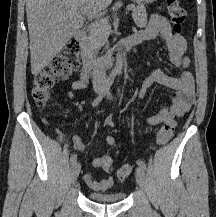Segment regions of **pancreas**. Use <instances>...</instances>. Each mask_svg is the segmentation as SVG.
<instances>
[{
	"mask_svg": "<svg viewBox=\"0 0 216 217\" xmlns=\"http://www.w3.org/2000/svg\"><path fill=\"white\" fill-rule=\"evenodd\" d=\"M132 17L138 27H146L147 13L144 4L138 3L137 6H134ZM110 32L111 27L107 19L93 23L89 28V41L91 46L95 49H99L107 42Z\"/></svg>",
	"mask_w": 216,
	"mask_h": 217,
	"instance_id": "pancreas-1",
	"label": "pancreas"
}]
</instances>
